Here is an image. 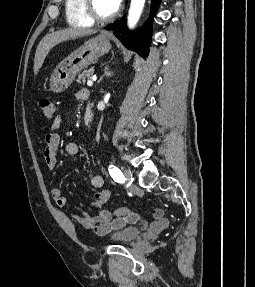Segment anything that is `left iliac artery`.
Masks as SVG:
<instances>
[{"instance_id": "obj_1", "label": "left iliac artery", "mask_w": 255, "mask_h": 287, "mask_svg": "<svg viewBox=\"0 0 255 287\" xmlns=\"http://www.w3.org/2000/svg\"><path fill=\"white\" fill-rule=\"evenodd\" d=\"M109 173L115 182H117V183H123L124 182V180H125L124 175L121 172V170L119 168H117L116 166L110 165Z\"/></svg>"}]
</instances>
